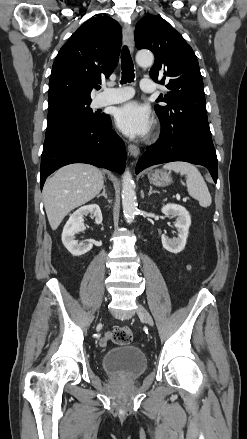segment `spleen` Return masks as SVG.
<instances>
[{
    "instance_id": "3e777b00",
    "label": "spleen",
    "mask_w": 247,
    "mask_h": 439,
    "mask_svg": "<svg viewBox=\"0 0 247 439\" xmlns=\"http://www.w3.org/2000/svg\"><path fill=\"white\" fill-rule=\"evenodd\" d=\"M166 170H173L176 173L186 176L187 191L191 197L198 200L201 207L207 208L212 203L208 187L198 169L187 162L175 161L166 163L163 166Z\"/></svg>"
}]
</instances>
